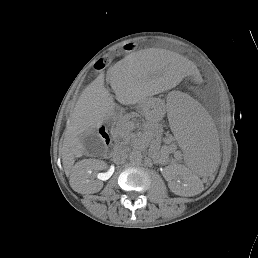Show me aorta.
<instances>
[{"mask_svg": "<svg viewBox=\"0 0 258 258\" xmlns=\"http://www.w3.org/2000/svg\"><path fill=\"white\" fill-rule=\"evenodd\" d=\"M130 161L134 164H140L142 161V155L139 151H133L130 154Z\"/></svg>", "mask_w": 258, "mask_h": 258, "instance_id": "1", "label": "aorta"}]
</instances>
